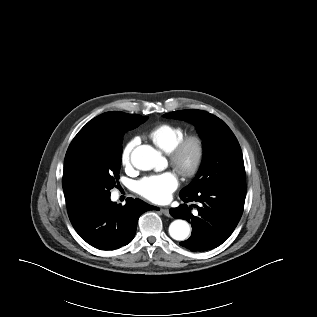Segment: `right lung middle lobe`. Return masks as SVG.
Masks as SVG:
<instances>
[{
	"mask_svg": "<svg viewBox=\"0 0 317 317\" xmlns=\"http://www.w3.org/2000/svg\"><path fill=\"white\" fill-rule=\"evenodd\" d=\"M107 113L104 127L82 128L65 156V198L81 206L110 197V189L119 179L123 135L148 118L119 111Z\"/></svg>",
	"mask_w": 317,
	"mask_h": 317,
	"instance_id": "1",
	"label": "right lung middle lobe"
}]
</instances>
